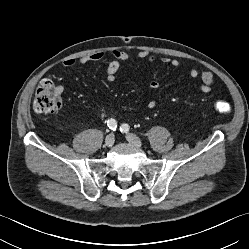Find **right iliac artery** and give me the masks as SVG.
<instances>
[{
	"label": "right iliac artery",
	"mask_w": 249,
	"mask_h": 249,
	"mask_svg": "<svg viewBox=\"0 0 249 249\" xmlns=\"http://www.w3.org/2000/svg\"><path fill=\"white\" fill-rule=\"evenodd\" d=\"M107 126H108L111 130L115 131L116 128H117V122H116V120H115V119H109V120L107 121Z\"/></svg>",
	"instance_id": "right-iliac-artery-1"
}]
</instances>
